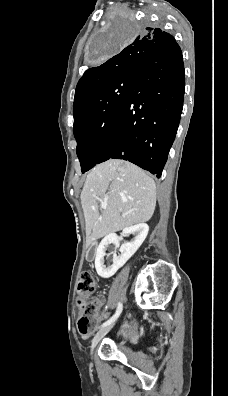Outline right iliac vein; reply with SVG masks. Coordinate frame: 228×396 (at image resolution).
<instances>
[{
	"mask_svg": "<svg viewBox=\"0 0 228 396\" xmlns=\"http://www.w3.org/2000/svg\"><path fill=\"white\" fill-rule=\"evenodd\" d=\"M114 322L111 323L110 325H107L100 329L97 334L94 336L92 343H91V354H93V351L97 345V343L113 328Z\"/></svg>",
	"mask_w": 228,
	"mask_h": 396,
	"instance_id": "obj_1",
	"label": "right iliac vein"
}]
</instances>
